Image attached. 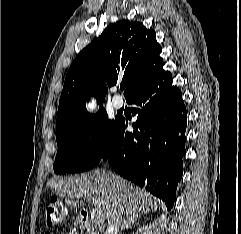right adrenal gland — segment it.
Here are the masks:
<instances>
[{
  "instance_id": "right-adrenal-gland-1",
  "label": "right adrenal gland",
  "mask_w": 241,
  "mask_h": 234,
  "mask_svg": "<svg viewBox=\"0 0 241 234\" xmlns=\"http://www.w3.org/2000/svg\"><path fill=\"white\" fill-rule=\"evenodd\" d=\"M140 218H141V214L129 215L127 219L123 222L120 230L124 231L125 229L131 228L132 226H134L137 219H140Z\"/></svg>"
}]
</instances>
